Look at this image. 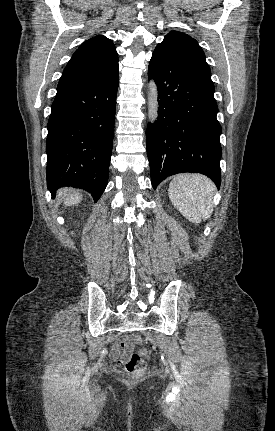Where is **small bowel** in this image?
I'll use <instances>...</instances> for the list:
<instances>
[{
	"label": "small bowel",
	"mask_w": 275,
	"mask_h": 431,
	"mask_svg": "<svg viewBox=\"0 0 275 431\" xmlns=\"http://www.w3.org/2000/svg\"><path fill=\"white\" fill-rule=\"evenodd\" d=\"M122 348L124 351L122 352ZM131 350V345L125 344V339L118 340L114 343L110 356L115 365H120L128 357Z\"/></svg>",
	"instance_id": "obj_1"
}]
</instances>
